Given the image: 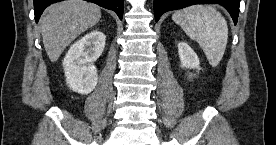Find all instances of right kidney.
Returning <instances> with one entry per match:
<instances>
[{"label":"right kidney","mask_w":276,"mask_h":145,"mask_svg":"<svg viewBox=\"0 0 276 145\" xmlns=\"http://www.w3.org/2000/svg\"><path fill=\"white\" fill-rule=\"evenodd\" d=\"M106 36L93 30L75 42L68 50L63 68L68 87L82 95L91 93L97 85L98 74L94 62L101 56Z\"/></svg>","instance_id":"right-kidney-1"}]
</instances>
